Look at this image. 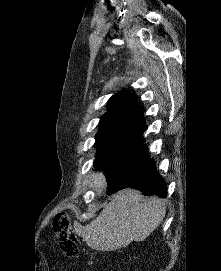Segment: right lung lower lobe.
Returning a JSON list of instances; mask_svg holds the SVG:
<instances>
[{
  "instance_id": "obj_1",
  "label": "right lung lower lobe",
  "mask_w": 221,
  "mask_h": 271,
  "mask_svg": "<svg viewBox=\"0 0 221 271\" xmlns=\"http://www.w3.org/2000/svg\"><path fill=\"white\" fill-rule=\"evenodd\" d=\"M104 174L108 182V195L125 188H134L144 195L166 197V183L148 156L146 145L142 144L128 158L105 170Z\"/></svg>"
}]
</instances>
